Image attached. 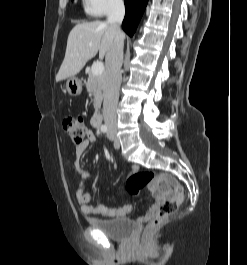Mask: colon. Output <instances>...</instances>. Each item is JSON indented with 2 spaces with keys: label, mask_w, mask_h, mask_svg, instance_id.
<instances>
[{
  "label": "colon",
  "mask_w": 247,
  "mask_h": 265,
  "mask_svg": "<svg viewBox=\"0 0 247 265\" xmlns=\"http://www.w3.org/2000/svg\"><path fill=\"white\" fill-rule=\"evenodd\" d=\"M62 125L75 146H81L86 142L88 130L82 118L67 116L63 119ZM145 187H148L152 193L166 190H172L174 193L172 198L161 203L157 214L148 222L147 230H153L176 213L184 198V188L170 176L151 171L135 172L127 179L126 189L131 195H138Z\"/></svg>",
  "instance_id": "1"
}]
</instances>
